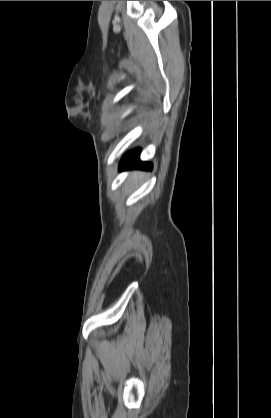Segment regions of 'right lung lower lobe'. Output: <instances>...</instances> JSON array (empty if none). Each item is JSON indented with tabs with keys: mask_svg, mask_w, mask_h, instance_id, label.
<instances>
[{
	"mask_svg": "<svg viewBox=\"0 0 271 418\" xmlns=\"http://www.w3.org/2000/svg\"><path fill=\"white\" fill-rule=\"evenodd\" d=\"M139 154H140L139 149H136L126 154L120 162V166H119L120 170H124L129 167H136V168H141L145 170L151 169L152 164L141 162L139 160Z\"/></svg>",
	"mask_w": 271,
	"mask_h": 418,
	"instance_id": "obj_1",
	"label": "right lung lower lobe"
}]
</instances>
